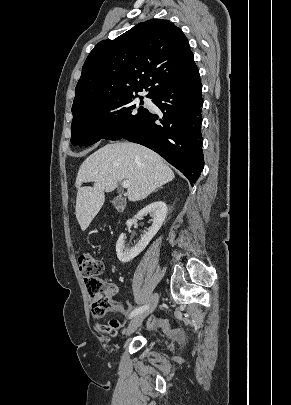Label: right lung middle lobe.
Here are the masks:
<instances>
[{
    "label": "right lung middle lobe",
    "instance_id": "obj_1",
    "mask_svg": "<svg viewBox=\"0 0 291 405\" xmlns=\"http://www.w3.org/2000/svg\"><path fill=\"white\" fill-rule=\"evenodd\" d=\"M139 96H125L98 102L73 114L71 143L89 146L100 139L119 140L135 129L146 118L149 110L133 101Z\"/></svg>",
    "mask_w": 291,
    "mask_h": 405
}]
</instances>
